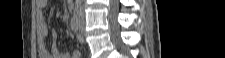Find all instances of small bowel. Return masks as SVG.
Segmentation results:
<instances>
[{
    "label": "small bowel",
    "mask_w": 225,
    "mask_h": 58,
    "mask_svg": "<svg viewBox=\"0 0 225 58\" xmlns=\"http://www.w3.org/2000/svg\"><path fill=\"white\" fill-rule=\"evenodd\" d=\"M47 0H36V6L38 8L37 13V34H38V51L42 58H80V52L78 50H73L70 54L63 53L60 51L56 39V32H51V38L53 40L50 51L48 52L44 45V37L49 33L48 25L42 14V10L47 6Z\"/></svg>",
    "instance_id": "obj_1"
}]
</instances>
